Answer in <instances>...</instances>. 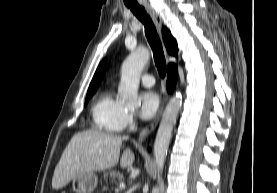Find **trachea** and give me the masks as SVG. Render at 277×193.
Returning <instances> with one entry per match:
<instances>
[{
    "label": "trachea",
    "mask_w": 277,
    "mask_h": 193,
    "mask_svg": "<svg viewBox=\"0 0 277 193\" xmlns=\"http://www.w3.org/2000/svg\"><path fill=\"white\" fill-rule=\"evenodd\" d=\"M128 7L133 12V14L143 23L145 27V35L153 51L154 61L158 73L162 78H164L167 70L166 61L161 41L151 18L147 15L145 9L141 6L135 5Z\"/></svg>",
    "instance_id": "trachea-1"
}]
</instances>
